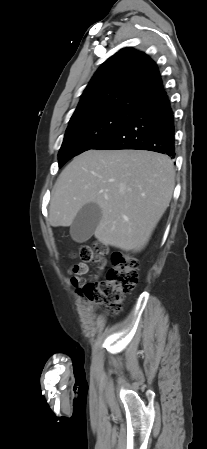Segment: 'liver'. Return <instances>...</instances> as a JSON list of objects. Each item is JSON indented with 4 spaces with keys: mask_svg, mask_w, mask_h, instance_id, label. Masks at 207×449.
Here are the masks:
<instances>
[{
    "mask_svg": "<svg viewBox=\"0 0 207 449\" xmlns=\"http://www.w3.org/2000/svg\"><path fill=\"white\" fill-rule=\"evenodd\" d=\"M171 159L142 150H89L59 175L49 206V223L67 227L88 203L102 218L94 231L104 245L140 252L169 206L175 184Z\"/></svg>",
    "mask_w": 207,
    "mask_h": 449,
    "instance_id": "6515ba94",
    "label": "liver"
}]
</instances>
